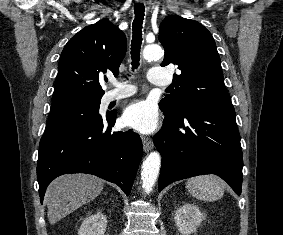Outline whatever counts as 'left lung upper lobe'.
<instances>
[{"label":"left lung upper lobe","instance_id":"5c2ea615","mask_svg":"<svg viewBox=\"0 0 283 235\" xmlns=\"http://www.w3.org/2000/svg\"><path fill=\"white\" fill-rule=\"evenodd\" d=\"M159 41L165 49L161 66L172 63L181 71L173 77V92L159 103L166 116H179L195 108L233 107L215 41L203 25L168 16L160 24Z\"/></svg>","mask_w":283,"mask_h":235}]
</instances>
